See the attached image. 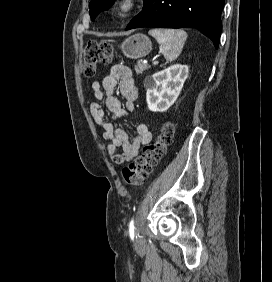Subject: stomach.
<instances>
[{
    "mask_svg": "<svg viewBox=\"0 0 272 282\" xmlns=\"http://www.w3.org/2000/svg\"><path fill=\"white\" fill-rule=\"evenodd\" d=\"M120 49L126 57L138 59L150 53L152 43L146 35L138 33L125 39L120 45Z\"/></svg>",
    "mask_w": 272,
    "mask_h": 282,
    "instance_id": "1",
    "label": "stomach"
}]
</instances>
